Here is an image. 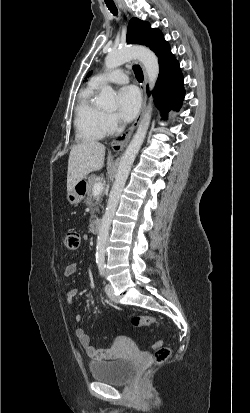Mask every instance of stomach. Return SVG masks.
<instances>
[{
    "instance_id": "1",
    "label": "stomach",
    "mask_w": 250,
    "mask_h": 413,
    "mask_svg": "<svg viewBox=\"0 0 250 413\" xmlns=\"http://www.w3.org/2000/svg\"><path fill=\"white\" fill-rule=\"evenodd\" d=\"M87 183L85 180H81L78 182L75 187L68 192L67 194V200L71 205H77L79 204L85 196V191H86Z\"/></svg>"
}]
</instances>
